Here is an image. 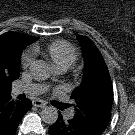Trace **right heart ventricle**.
I'll return each instance as SVG.
<instances>
[{"label": "right heart ventricle", "instance_id": "obj_1", "mask_svg": "<svg viewBox=\"0 0 135 135\" xmlns=\"http://www.w3.org/2000/svg\"><path fill=\"white\" fill-rule=\"evenodd\" d=\"M35 53H43L58 70H67L77 60L76 48L68 41L55 40L45 48L33 46Z\"/></svg>", "mask_w": 135, "mask_h": 135}]
</instances>
